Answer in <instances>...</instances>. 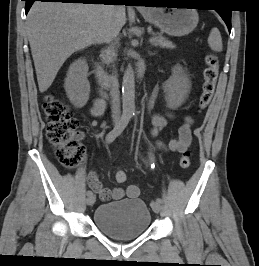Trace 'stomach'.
<instances>
[{"mask_svg": "<svg viewBox=\"0 0 259 266\" xmlns=\"http://www.w3.org/2000/svg\"><path fill=\"white\" fill-rule=\"evenodd\" d=\"M171 5L183 7V3L180 2H174ZM142 15L146 21L171 36H183L191 33L199 21L197 11L188 8H149L142 11Z\"/></svg>", "mask_w": 259, "mask_h": 266, "instance_id": "stomach-1", "label": "stomach"}]
</instances>
